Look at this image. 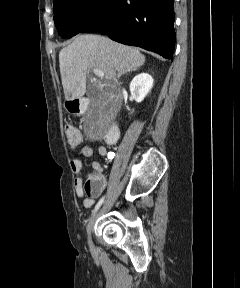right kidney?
Returning <instances> with one entry per match:
<instances>
[{"label":"right kidney","mask_w":240,"mask_h":288,"mask_svg":"<svg viewBox=\"0 0 240 288\" xmlns=\"http://www.w3.org/2000/svg\"><path fill=\"white\" fill-rule=\"evenodd\" d=\"M153 78L147 73L136 75L130 83V92L137 102H141L150 92Z\"/></svg>","instance_id":"right-kidney-1"}]
</instances>
